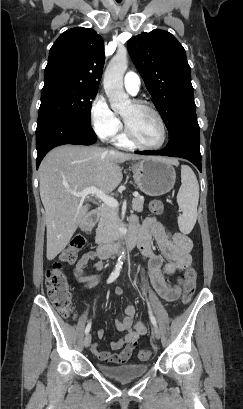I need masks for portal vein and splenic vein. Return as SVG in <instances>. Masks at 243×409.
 Segmentation results:
<instances>
[{"label": "portal vein and splenic vein", "mask_w": 243, "mask_h": 409, "mask_svg": "<svg viewBox=\"0 0 243 409\" xmlns=\"http://www.w3.org/2000/svg\"><path fill=\"white\" fill-rule=\"evenodd\" d=\"M71 194L76 196V197H83V198H85L88 195H94L98 199H100L104 204H106L107 206L115 207V208H117L119 206V203L115 198L105 194V192H103L102 190H100V189H98L97 187H94V186L85 188L84 190L79 191V192L71 191ZM137 195H138V193H136V192L133 193V196H137Z\"/></svg>", "instance_id": "18ae733b"}]
</instances>
